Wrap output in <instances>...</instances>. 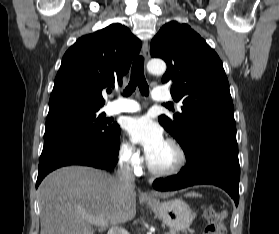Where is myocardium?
Returning a JSON list of instances; mask_svg holds the SVG:
<instances>
[{
	"label": "myocardium",
	"mask_w": 279,
	"mask_h": 234,
	"mask_svg": "<svg viewBox=\"0 0 279 234\" xmlns=\"http://www.w3.org/2000/svg\"><path fill=\"white\" fill-rule=\"evenodd\" d=\"M165 143L170 145L176 152V162L168 168H156L151 164L149 159H147V168L149 172L156 177H172L178 174L186 166L187 154L183 146L175 139L168 138Z\"/></svg>",
	"instance_id": "obj_1"
}]
</instances>
